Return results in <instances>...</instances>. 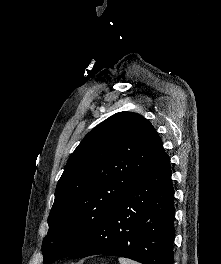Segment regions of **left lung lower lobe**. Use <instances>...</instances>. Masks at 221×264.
I'll list each match as a JSON object with an SVG mask.
<instances>
[{"label":"left lung lower lobe","mask_w":221,"mask_h":264,"mask_svg":"<svg viewBox=\"0 0 221 264\" xmlns=\"http://www.w3.org/2000/svg\"><path fill=\"white\" fill-rule=\"evenodd\" d=\"M173 200L170 159L164 153L69 257L102 254L142 264H173Z\"/></svg>","instance_id":"0a47b994"}]
</instances>
